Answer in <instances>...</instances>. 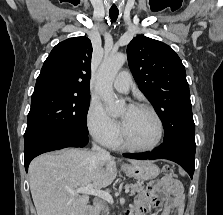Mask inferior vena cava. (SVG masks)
I'll use <instances>...</instances> for the list:
<instances>
[{
  "label": "inferior vena cava",
  "mask_w": 223,
  "mask_h": 215,
  "mask_svg": "<svg viewBox=\"0 0 223 215\" xmlns=\"http://www.w3.org/2000/svg\"><path fill=\"white\" fill-rule=\"evenodd\" d=\"M92 149H95V151H97V155H99V157H110L109 151H106V149H102V147H99V145H96V143H93ZM101 209V203H97V201H94V209L92 215H99Z\"/></svg>",
  "instance_id": "1"
}]
</instances>
